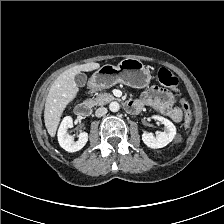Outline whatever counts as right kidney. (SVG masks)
<instances>
[{"label":"right kidney","mask_w":224,"mask_h":224,"mask_svg":"<svg viewBox=\"0 0 224 224\" xmlns=\"http://www.w3.org/2000/svg\"><path fill=\"white\" fill-rule=\"evenodd\" d=\"M71 127H73L72 117H64L58 129V142L64 150L68 152H76L86 145L88 141V133H80L78 141L75 142L74 137L67 133V129Z\"/></svg>","instance_id":"1"}]
</instances>
